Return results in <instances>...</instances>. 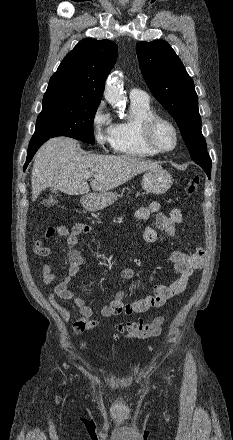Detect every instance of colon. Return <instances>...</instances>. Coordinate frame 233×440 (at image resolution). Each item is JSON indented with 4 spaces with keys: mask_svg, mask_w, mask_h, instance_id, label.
Here are the masks:
<instances>
[{
    "mask_svg": "<svg viewBox=\"0 0 233 440\" xmlns=\"http://www.w3.org/2000/svg\"><path fill=\"white\" fill-rule=\"evenodd\" d=\"M198 186L199 179L197 177L191 179L185 187L186 194H194L197 191ZM44 205L46 207H55L56 201L49 198L44 201ZM164 322V318H157L149 324H144L139 320L130 321L126 324L117 326V336H122L128 339H146L156 337L161 333Z\"/></svg>",
    "mask_w": 233,
    "mask_h": 440,
    "instance_id": "1",
    "label": "colon"
}]
</instances>
